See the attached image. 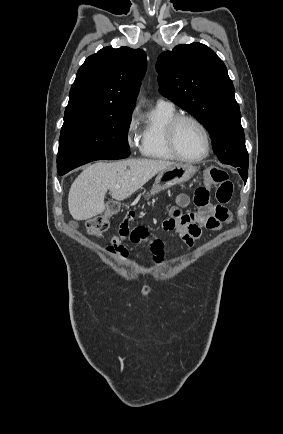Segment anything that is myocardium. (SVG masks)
Returning <instances> with one entry per match:
<instances>
[{
	"label": "myocardium",
	"mask_w": 283,
	"mask_h": 434,
	"mask_svg": "<svg viewBox=\"0 0 283 434\" xmlns=\"http://www.w3.org/2000/svg\"><path fill=\"white\" fill-rule=\"evenodd\" d=\"M182 121H191L193 122L202 132L203 138H204V152L198 156V157H186L180 153V151L177 148L176 144V130L178 125ZM165 137H166V143L167 146L172 153V155L181 161L189 162V163H197L202 160H204L206 157H208L210 150H211V140L209 132L206 128V126L195 116L189 115V114H177L174 118L170 120V122L166 126L165 131Z\"/></svg>",
	"instance_id": "obj_1"
}]
</instances>
